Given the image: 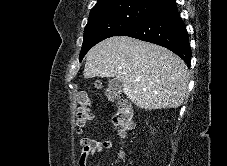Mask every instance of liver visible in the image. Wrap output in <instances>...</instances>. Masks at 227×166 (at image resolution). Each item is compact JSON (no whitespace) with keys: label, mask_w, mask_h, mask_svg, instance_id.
Wrapping results in <instances>:
<instances>
[{"label":"liver","mask_w":227,"mask_h":166,"mask_svg":"<svg viewBox=\"0 0 227 166\" xmlns=\"http://www.w3.org/2000/svg\"><path fill=\"white\" fill-rule=\"evenodd\" d=\"M114 77L125 95L146 110L179 107L189 74L184 61L170 50L126 36L95 45L86 55L84 78Z\"/></svg>","instance_id":"6515ba94"}]
</instances>
